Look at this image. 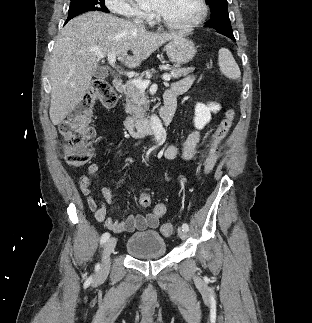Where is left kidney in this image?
<instances>
[{
	"label": "left kidney",
	"mask_w": 312,
	"mask_h": 323,
	"mask_svg": "<svg viewBox=\"0 0 312 323\" xmlns=\"http://www.w3.org/2000/svg\"><path fill=\"white\" fill-rule=\"evenodd\" d=\"M220 110L219 104H208V106H205V104H196L195 106V118H194V126L197 128V130H203L204 126L206 124H209L211 120V112H218Z\"/></svg>",
	"instance_id": "1"
}]
</instances>
